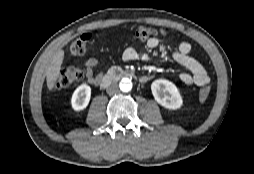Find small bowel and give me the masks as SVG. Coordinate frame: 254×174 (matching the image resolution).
I'll return each instance as SVG.
<instances>
[{"label": "small bowel", "mask_w": 254, "mask_h": 174, "mask_svg": "<svg viewBox=\"0 0 254 174\" xmlns=\"http://www.w3.org/2000/svg\"><path fill=\"white\" fill-rule=\"evenodd\" d=\"M160 45L161 41L157 38H150L146 43L149 49H156ZM122 58L125 61H134L137 59L150 60L152 56L147 51H140L136 47H128L124 50ZM172 58L176 63L187 69V71L179 75L180 80L184 84L203 86L209 82V76L205 68L191 56V45L189 43H180L177 50L172 53ZM99 64L100 62L97 58H91L84 63L87 81L94 85L99 84L102 77V73L96 72Z\"/></svg>", "instance_id": "obj_1"}]
</instances>
